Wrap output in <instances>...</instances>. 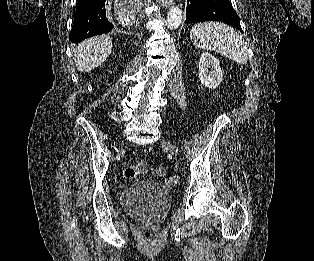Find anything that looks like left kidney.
Segmentation results:
<instances>
[{
  "instance_id": "left-kidney-1",
  "label": "left kidney",
  "mask_w": 314,
  "mask_h": 261,
  "mask_svg": "<svg viewBox=\"0 0 314 261\" xmlns=\"http://www.w3.org/2000/svg\"><path fill=\"white\" fill-rule=\"evenodd\" d=\"M208 68L211 70L208 71ZM199 78L201 84L207 88H217L223 80V74L217 59L210 53L205 52L199 60Z\"/></svg>"
}]
</instances>
